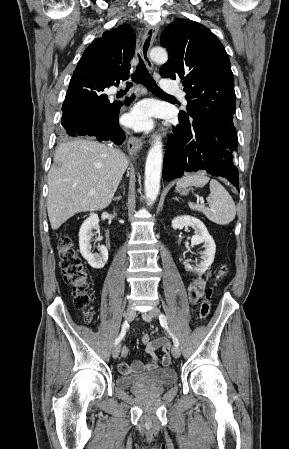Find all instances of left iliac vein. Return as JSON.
Segmentation results:
<instances>
[{
    "mask_svg": "<svg viewBox=\"0 0 289 449\" xmlns=\"http://www.w3.org/2000/svg\"><path fill=\"white\" fill-rule=\"evenodd\" d=\"M159 314H160V310L157 307H153L150 311L143 313L142 317L145 321L150 322L152 320V318H157L159 316ZM171 352H172V355L174 358L180 357L181 351L177 346L174 345L172 347Z\"/></svg>",
    "mask_w": 289,
    "mask_h": 449,
    "instance_id": "4c4485c4",
    "label": "left iliac vein"
}]
</instances>
